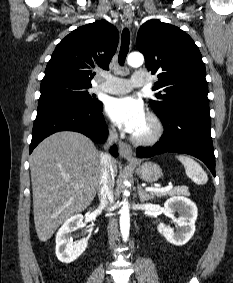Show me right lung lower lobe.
I'll list each match as a JSON object with an SVG mask.
<instances>
[{"label": "right lung lower lobe", "mask_w": 233, "mask_h": 283, "mask_svg": "<svg viewBox=\"0 0 233 283\" xmlns=\"http://www.w3.org/2000/svg\"><path fill=\"white\" fill-rule=\"evenodd\" d=\"M102 112V104L96 108H85L63 102H47L38 105L34 121L30 153L47 136L59 131L80 132L93 141L104 142L108 135ZM110 153L117 157L116 146Z\"/></svg>", "instance_id": "right-lung-lower-lobe-1"}]
</instances>
